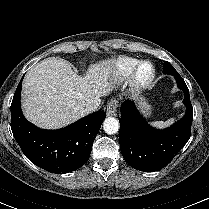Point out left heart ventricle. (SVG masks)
<instances>
[{
  "label": "left heart ventricle",
  "mask_w": 209,
  "mask_h": 209,
  "mask_svg": "<svg viewBox=\"0 0 209 209\" xmlns=\"http://www.w3.org/2000/svg\"><path fill=\"white\" fill-rule=\"evenodd\" d=\"M150 73H151V68H150V66L145 65V66L142 68V71H141L142 76L146 77V76L150 75Z\"/></svg>",
  "instance_id": "1"
}]
</instances>
